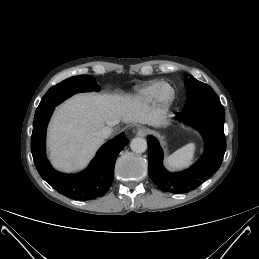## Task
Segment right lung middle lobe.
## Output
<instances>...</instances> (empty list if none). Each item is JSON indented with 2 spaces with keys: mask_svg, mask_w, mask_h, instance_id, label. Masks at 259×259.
I'll return each mask as SVG.
<instances>
[{
  "mask_svg": "<svg viewBox=\"0 0 259 259\" xmlns=\"http://www.w3.org/2000/svg\"><path fill=\"white\" fill-rule=\"evenodd\" d=\"M99 87L89 75L70 77L61 83L51 87L42 98L36 114L49 108H54L65 99L79 92L98 91Z\"/></svg>",
  "mask_w": 259,
  "mask_h": 259,
  "instance_id": "dd1d6c3e",
  "label": "right lung middle lobe"
}]
</instances>
